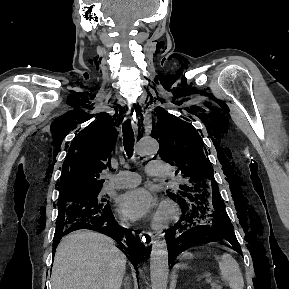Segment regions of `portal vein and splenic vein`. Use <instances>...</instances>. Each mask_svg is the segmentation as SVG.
I'll list each match as a JSON object with an SVG mask.
<instances>
[{
	"mask_svg": "<svg viewBox=\"0 0 289 289\" xmlns=\"http://www.w3.org/2000/svg\"><path fill=\"white\" fill-rule=\"evenodd\" d=\"M205 282L206 283H212L213 282V278L208 276V277L205 278Z\"/></svg>",
	"mask_w": 289,
	"mask_h": 289,
	"instance_id": "18ae733b",
	"label": "portal vein and splenic vein"
}]
</instances>
